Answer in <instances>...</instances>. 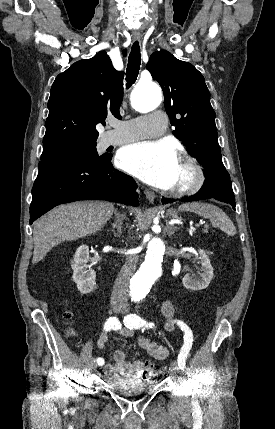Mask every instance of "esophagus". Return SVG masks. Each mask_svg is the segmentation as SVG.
<instances>
[{
	"label": "esophagus",
	"instance_id": "esophagus-1",
	"mask_svg": "<svg viewBox=\"0 0 275 429\" xmlns=\"http://www.w3.org/2000/svg\"><path fill=\"white\" fill-rule=\"evenodd\" d=\"M132 40L133 41H138V40H140V36L139 35H134V36H132ZM144 193H145V196H146L147 200L149 202L153 203L154 199H155V193L152 192V191H149V190H145Z\"/></svg>",
	"mask_w": 275,
	"mask_h": 429
}]
</instances>
